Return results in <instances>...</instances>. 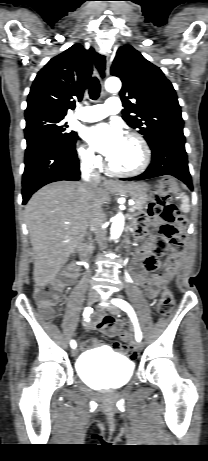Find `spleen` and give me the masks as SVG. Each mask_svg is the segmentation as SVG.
<instances>
[{
	"instance_id": "obj_1",
	"label": "spleen",
	"mask_w": 208,
	"mask_h": 461,
	"mask_svg": "<svg viewBox=\"0 0 208 461\" xmlns=\"http://www.w3.org/2000/svg\"><path fill=\"white\" fill-rule=\"evenodd\" d=\"M181 210L184 213H188L190 211L189 198L186 195L182 196Z\"/></svg>"
}]
</instances>
